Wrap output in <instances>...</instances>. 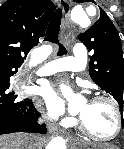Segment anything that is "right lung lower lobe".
I'll return each instance as SVG.
<instances>
[{
	"instance_id": "98d812e1",
	"label": "right lung lower lobe",
	"mask_w": 124,
	"mask_h": 149,
	"mask_svg": "<svg viewBox=\"0 0 124 149\" xmlns=\"http://www.w3.org/2000/svg\"><path fill=\"white\" fill-rule=\"evenodd\" d=\"M20 66L0 65V135L28 132L46 133L45 125L40 126L36 120L39 112L29 99L16 100L17 96L10 88V77Z\"/></svg>"
}]
</instances>
